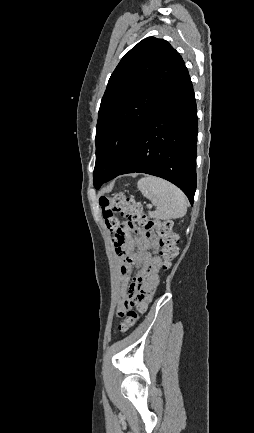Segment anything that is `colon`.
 <instances>
[{
    "instance_id": "obj_1",
    "label": "colon",
    "mask_w": 254,
    "mask_h": 433,
    "mask_svg": "<svg viewBox=\"0 0 254 433\" xmlns=\"http://www.w3.org/2000/svg\"><path fill=\"white\" fill-rule=\"evenodd\" d=\"M99 203L118 256L125 255L128 237L132 234L138 235L141 229H145L146 233L153 231L157 236L163 265L169 267L172 264L179 253V238L172 231L171 222L160 223L149 219L139 203L122 193L112 197L102 196ZM117 216H120L123 221L119 222ZM134 305H137L136 309ZM145 308V302L138 301L131 296L127 297L119 311L121 318L119 329L125 332L132 328Z\"/></svg>"
}]
</instances>
